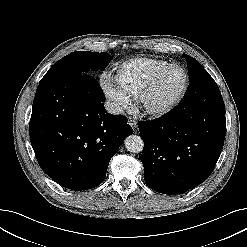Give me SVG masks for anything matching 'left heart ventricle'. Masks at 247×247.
<instances>
[{
    "label": "left heart ventricle",
    "mask_w": 247,
    "mask_h": 247,
    "mask_svg": "<svg viewBox=\"0 0 247 247\" xmlns=\"http://www.w3.org/2000/svg\"><path fill=\"white\" fill-rule=\"evenodd\" d=\"M184 74L179 68H171L158 80L156 86L147 98L150 107H161L168 104L181 90Z\"/></svg>",
    "instance_id": "left-heart-ventricle-1"
}]
</instances>
